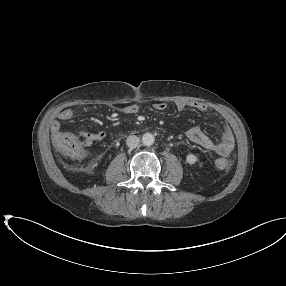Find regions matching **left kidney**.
<instances>
[{
    "instance_id": "1",
    "label": "left kidney",
    "mask_w": 286,
    "mask_h": 286,
    "mask_svg": "<svg viewBox=\"0 0 286 286\" xmlns=\"http://www.w3.org/2000/svg\"><path fill=\"white\" fill-rule=\"evenodd\" d=\"M186 162L190 165H193L197 162V157L194 154L189 153L186 156Z\"/></svg>"
}]
</instances>
